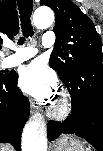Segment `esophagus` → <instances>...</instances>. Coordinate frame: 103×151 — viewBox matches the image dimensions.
Masks as SVG:
<instances>
[{"label": "esophagus", "instance_id": "obj_1", "mask_svg": "<svg viewBox=\"0 0 103 151\" xmlns=\"http://www.w3.org/2000/svg\"><path fill=\"white\" fill-rule=\"evenodd\" d=\"M36 111H37L36 105L33 102H31V112L36 113Z\"/></svg>", "mask_w": 103, "mask_h": 151}]
</instances>
